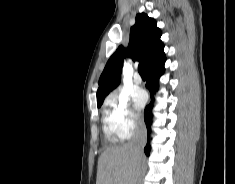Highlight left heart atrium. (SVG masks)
<instances>
[{"label": "left heart atrium", "instance_id": "obj_1", "mask_svg": "<svg viewBox=\"0 0 235 184\" xmlns=\"http://www.w3.org/2000/svg\"><path fill=\"white\" fill-rule=\"evenodd\" d=\"M132 101L137 111L141 110L146 103V95L141 89H137L132 96Z\"/></svg>", "mask_w": 235, "mask_h": 184}]
</instances>
